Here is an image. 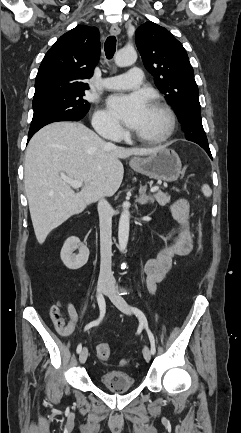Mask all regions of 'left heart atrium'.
I'll return each mask as SVG.
<instances>
[{
  "mask_svg": "<svg viewBox=\"0 0 241 433\" xmlns=\"http://www.w3.org/2000/svg\"><path fill=\"white\" fill-rule=\"evenodd\" d=\"M109 111L127 127L137 130L144 122L150 105L142 93L115 94L108 98Z\"/></svg>",
  "mask_w": 241,
  "mask_h": 433,
  "instance_id": "1",
  "label": "left heart atrium"
}]
</instances>
